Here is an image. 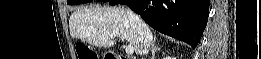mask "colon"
Masks as SVG:
<instances>
[{"label":"colon","mask_w":261,"mask_h":59,"mask_svg":"<svg viewBox=\"0 0 261 59\" xmlns=\"http://www.w3.org/2000/svg\"><path fill=\"white\" fill-rule=\"evenodd\" d=\"M77 54L79 59H98L97 53L85 44L77 46Z\"/></svg>","instance_id":"colon-1"}]
</instances>
